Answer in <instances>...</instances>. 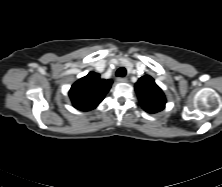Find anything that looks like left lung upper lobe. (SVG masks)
<instances>
[{"instance_id": "left-lung-upper-lobe-1", "label": "left lung upper lobe", "mask_w": 222, "mask_h": 187, "mask_svg": "<svg viewBox=\"0 0 222 187\" xmlns=\"http://www.w3.org/2000/svg\"><path fill=\"white\" fill-rule=\"evenodd\" d=\"M135 90L146 112L157 113L165 108V95L151 76L141 77L135 84Z\"/></svg>"}]
</instances>
